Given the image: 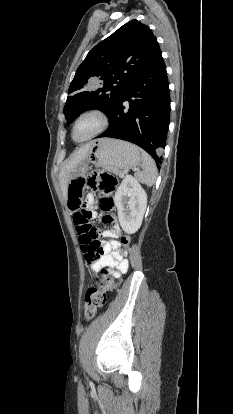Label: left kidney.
<instances>
[{
	"mask_svg": "<svg viewBox=\"0 0 233 414\" xmlns=\"http://www.w3.org/2000/svg\"><path fill=\"white\" fill-rule=\"evenodd\" d=\"M114 202L122 229L128 234L137 232L146 210L147 194L133 176L127 175L123 179L115 193Z\"/></svg>",
	"mask_w": 233,
	"mask_h": 414,
	"instance_id": "1",
	"label": "left kidney"
}]
</instances>
